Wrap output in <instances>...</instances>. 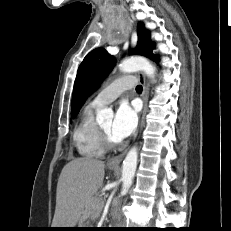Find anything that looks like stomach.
Instances as JSON below:
<instances>
[{"mask_svg":"<svg viewBox=\"0 0 231 231\" xmlns=\"http://www.w3.org/2000/svg\"><path fill=\"white\" fill-rule=\"evenodd\" d=\"M80 228H89V227H80Z\"/></svg>","mask_w":231,"mask_h":231,"instance_id":"stomach-1","label":"stomach"}]
</instances>
